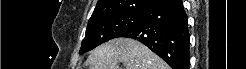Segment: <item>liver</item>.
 <instances>
[{
	"label": "liver",
	"instance_id": "liver-1",
	"mask_svg": "<svg viewBox=\"0 0 246 69\" xmlns=\"http://www.w3.org/2000/svg\"><path fill=\"white\" fill-rule=\"evenodd\" d=\"M168 69V65L148 47L129 38L112 39L92 51L89 69Z\"/></svg>",
	"mask_w": 246,
	"mask_h": 69
}]
</instances>
